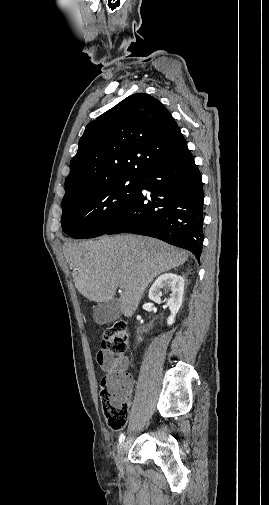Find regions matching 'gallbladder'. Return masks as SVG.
Wrapping results in <instances>:
<instances>
[{"label":"gallbladder","instance_id":"1","mask_svg":"<svg viewBox=\"0 0 269 505\" xmlns=\"http://www.w3.org/2000/svg\"><path fill=\"white\" fill-rule=\"evenodd\" d=\"M122 314L119 299L113 298L110 301L98 303L93 308V319L99 325H104L117 320Z\"/></svg>","mask_w":269,"mask_h":505}]
</instances>
